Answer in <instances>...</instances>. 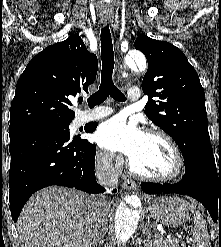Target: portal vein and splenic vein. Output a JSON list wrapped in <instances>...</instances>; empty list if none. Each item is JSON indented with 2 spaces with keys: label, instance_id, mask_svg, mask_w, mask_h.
Masks as SVG:
<instances>
[{
  "label": "portal vein and splenic vein",
  "instance_id": "18ae733b",
  "mask_svg": "<svg viewBox=\"0 0 221 247\" xmlns=\"http://www.w3.org/2000/svg\"><path fill=\"white\" fill-rule=\"evenodd\" d=\"M159 232L161 233V234H165L166 232L161 228V229H159ZM177 240V239H176Z\"/></svg>",
  "mask_w": 221,
  "mask_h": 247
}]
</instances>
